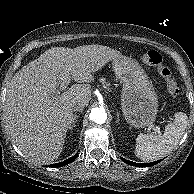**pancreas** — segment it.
<instances>
[{
  "instance_id": "1",
  "label": "pancreas",
  "mask_w": 194,
  "mask_h": 194,
  "mask_svg": "<svg viewBox=\"0 0 194 194\" xmlns=\"http://www.w3.org/2000/svg\"><path fill=\"white\" fill-rule=\"evenodd\" d=\"M100 82L102 83V86L104 89H107L109 90L110 89V83L106 81V79L104 77H101L100 79Z\"/></svg>"
}]
</instances>
